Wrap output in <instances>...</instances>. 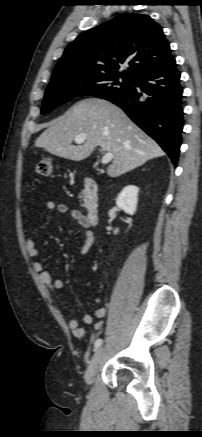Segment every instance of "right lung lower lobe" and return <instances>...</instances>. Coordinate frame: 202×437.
<instances>
[{"instance_id":"1","label":"right lung lower lobe","mask_w":202,"mask_h":437,"mask_svg":"<svg viewBox=\"0 0 202 437\" xmlns=\"http://www.w3.org/2000/svg\"><path fill=\"white\" fill-rule=\"evenodd\" d=\"M139 87L140 89H136ZM180 73L172 56L133 77L130 89L108 101L119 106L177 164L184 124Z\"/></svg>"}]
</instances>
